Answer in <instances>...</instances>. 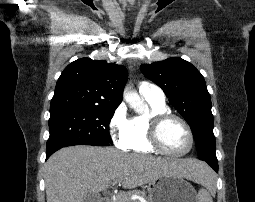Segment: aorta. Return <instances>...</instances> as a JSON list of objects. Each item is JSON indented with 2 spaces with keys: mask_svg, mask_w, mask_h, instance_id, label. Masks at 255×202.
Masks as SVG:
<instances>
[{
  "mask_svg": "<svg viewBox=\"0 0 255 202\" xmlns=\"http://www.w3.org/2000/svg\"><path fill=\"white\" fill-rule=\"evenodd\" d=\"M124 99L137 113H143L147 109L146 104L142 101L137 92L126 91L124 93Z\"/></svg>",
  "mask_w": 255,
  "mask_h": 202,
  "instance_id": "762f6f07",
  "label": "aorta"
}]
</instances>
